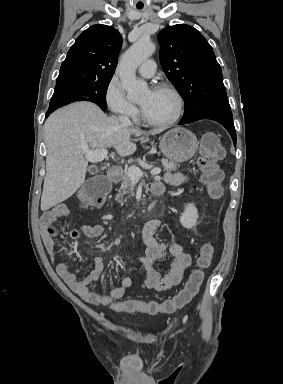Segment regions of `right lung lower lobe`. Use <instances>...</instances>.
I'll use <instances>...</instances> for the list:
<instances>
[{
	"label": "right lung lower lobe",
	"mask_w": 283,
	"mask_h": 384,
	"mask_svg": "<svg viewBox=\"0 0 283 384\" xmlns=\"http://www.w3.org/2000/svg\"><path fill=\"white\" fill-rule=\"evenodd\" d=\"M54 110H56V109H48V111L46 113V117H48Z\"/></svg>",
	"instance_id": "1"
}]
</instances>
